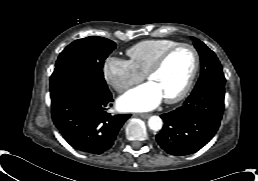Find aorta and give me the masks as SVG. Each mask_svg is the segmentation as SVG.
<instances>
[{"label":"aorta","instance_id":"762f6f07","mask_svg":"<svg viewBox=\"0 0 258 181\" xmlns=\"http://www.w3.org/2000/svg\"><path fill=\"white\" fill-rule=\"evenodd\" d=\"M163 122L159 116H151L148 119V126L151 130L158 131L162 128Z\"/></svg>","mask_w":258,"mask_h":181}]
</instances>
